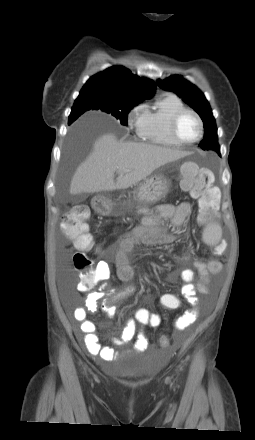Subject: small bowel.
<instances>
[{
  "mask_svg": "<svg viewBox=\"0 0 255 440\" xmlns=\"http://www.w3.org/2000/svg\"><path fill=\"white\" fill-rule=\"evenodd\" d=\"M192 211L189 203L180 205H160L153 213L143 217L140 226L124 233L114 250V264L116 275L122 282L119 288H112L109 285L103 286L102 292H91L86 301V307H77L73 311L74 319L80 323V331L83 333L82 342L87 351L95 356H99L105 361H115L117 352L109 346H102L96 335L95 324L88 319L87 312H95L99 309V300L104 298L101 305L102 311L108 316L114 315V305L121 300L132 295L136 291V286L131 283L135 274L134 268L130 265L128 254L135 246L143 244L146 246L166 245L174 242L175 237L169 229L163 225L165 220H169L173 228H179L184 224ZM184 260H189L184 257ZM195 270L183 269L180 272H174L170 275L171 280L180 278L184 284L181 287V294L186 302L193 308L185 311L175 322L177 330L186 329L197 318L195 309L199 305L197 294H207L210 291L211 275L218 274L222 269V264L218 260H209L207 262L194 260ZM196 273L199 276L197 284L193 283ZM110 264L102 260L96 265V282H104L110 278ZM161 298H179L175 294H163ZM161 304V303H160ZM160 316L146 308L138 309L134 316L126 320V326L119 338L113 339V343L121 345L133 339L135 334V325L139 323L143 326L157 327L160 324ZM148 345V339L144 332H140L137 337L136 347L145 348Z\"/></svg>",
  "mask_w": 255,
  "mask_h": 440,
  "instance_id": "1",
  "label": "small bowel"
}]
</instances>
